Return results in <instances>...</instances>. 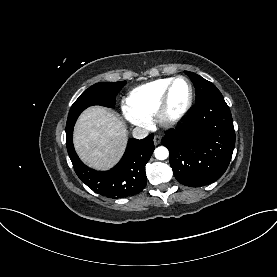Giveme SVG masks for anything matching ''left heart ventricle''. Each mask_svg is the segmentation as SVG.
I'll return each mask as SVG.
<instances>
[{
    "mask_svg": "<svg viewBox=\"0 0 277 277\" xmlns=\"http://www.w3.org/2000/svg\"><path fill=\"white\" fill-rule=\"evenodd\" d=\"M189 97V87L188 84L183 81L179 80L174 85L170 102H169V108L168 113L169 115L173 116L176 115L180 110L184 107Z\"/></svg>",
    "mask_w": 277,
    "mask_h": 277,
    "instance_id": "left-heart-ventricle-1",
    "label": "left heart ventricle"
}]
</instances>
